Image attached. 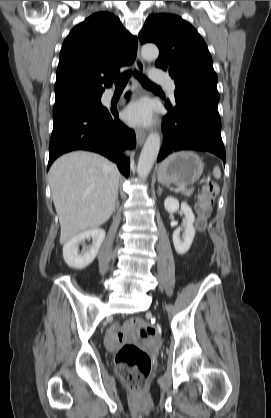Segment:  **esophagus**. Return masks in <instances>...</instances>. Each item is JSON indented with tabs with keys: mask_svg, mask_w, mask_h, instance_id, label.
Returning <instances> with one entry per match:
<instances>
[{
	"mask_svg": "<svg viewBox=\"0 0 271 418\" xmlns=\"http://www.w3.org/2000/svg\"><path fill=\"white\" fill-rule=\"evenodd\" d=\"M135 65L136 68L138 70V72L140 73H144L145 71V63L140 55V45L138 44V48H137V56H136V60H135ZM146 139V132L142 129H137L136 130V141L138 145H142L144 143Z\"/></svg>",
	"mask_w": 271,
	"mask_h": 418,
	"instance_id": "1",
	"label": "esophagus"
}]
</instances>
